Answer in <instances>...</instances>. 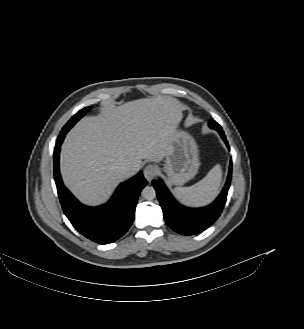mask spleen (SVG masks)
I'll return each instance as SVG.
<instances>
[{"instance_id": "obj_1", "label": "spleen", "mask_w": 304, "mask_h": 329, "mask_svg": "<svg viewBox=\"0 0 304 329\" xmlns=\"http://www.w3.org/2000/svg\"><path fill=\"white\" fill-rule=\"evenodd\" d=\"M221 179V166L216 165L196 184L189 187H176L173 193L185 205L194 207L204 206L209 204L217 196Z\"/></svg>"}]
</instances>
